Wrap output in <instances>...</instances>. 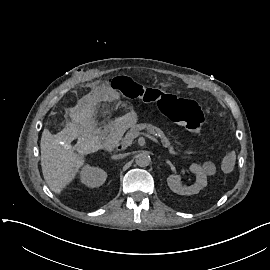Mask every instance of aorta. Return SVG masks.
<instances>
[{"label":"aorta","instance_id":"aorta-1","mask_svg":"<svg viewBox=\"0 0 270 270\" xmlns=\"http://www.w3.org/2000/svg\"><path fill=\"white\" fill-rule=\"evenodd\" d=\"M135 162L140 167H147L151 162V157L147 152H142L135 156Z\"/></svg>","mask_w":270,"mask_h":270}]
</instances>
